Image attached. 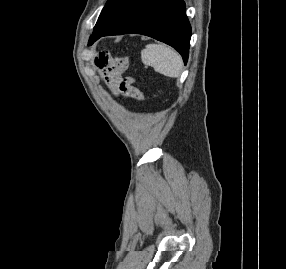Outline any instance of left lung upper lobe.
Wrapping results in <instances>:
<instances>
[{
    "label": "left lung upper lobe",
    "instance_id": "obj_1",
    "mask_svg": "<svg viewBox=\"0 0 286 269\" xmlns=\"http://www.w3.org/2000/svg\"><path fill=\"white\" fill-rule=\"evenodd\" d=\"M143 0H109L103 8L94 27L93 35L115 25L127 13L136 8ZM94 37L91 36L89 43Z\"/></svg>",
    "mask_w": 286,
    "mask_h": 269
}]
</instances>
